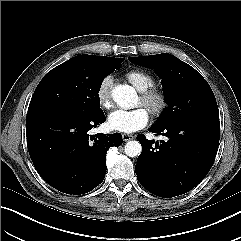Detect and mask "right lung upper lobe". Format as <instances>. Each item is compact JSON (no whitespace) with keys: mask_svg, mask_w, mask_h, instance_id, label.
Returning a JSON list of instances; mask_svg holds the SVG:
<instances>
[{"mask_svg":"<svg viewBox=\"0 0 241 241\" xmlns=\"http://www.w3.org/2000/svg\"><path fill=\"white\" fill-rule=\"evenodd\" d=\"M83 57H90V58H96V59H101V60H113V59H117V60H123L122 58H111V57H105V56H92V55H81Z\"/></svg>","mask_w":241,"mask_h":241,"instance_id":"right-lung-upper-lobe-1","label":"right lung upper lobe"}]
</instances>
